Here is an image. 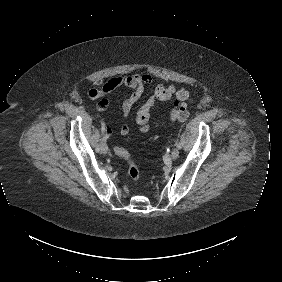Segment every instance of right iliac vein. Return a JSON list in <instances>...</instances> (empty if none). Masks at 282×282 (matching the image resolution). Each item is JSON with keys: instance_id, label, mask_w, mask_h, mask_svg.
<instances>
[{"instance_id": "obj_1", "label": "right iliac vein", "mask_w": 282, "mask_h": 282, "mask_svg": "<svg viewBox=\"0 0 282 282\" xmlns=\"http://www.w3.org/2000/svg\"><path fill=\"white\" fill-rule=\"evenodd\" d=\"M100 150H101V152H102L103 154H106V153L108 152V147H107V145H106V144H102Z\"/></svg>"}]
</instances>
